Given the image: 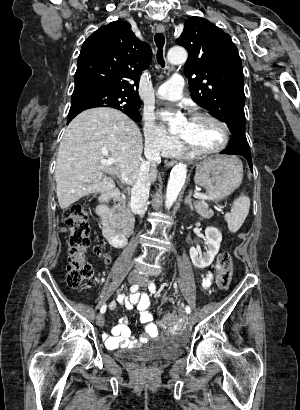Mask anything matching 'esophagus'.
Returning <instances> with one entry per match:
<instances>
[{
    "label": "esophagus",
    "mask_w": 300,
    "mask_h": 410,
    "mask_svg": "<svg viewBox=\"0 0 300 410\" xmlns=\"http://www.w3.org/2000/svg\"><path fill=\"white\" fill-rule=\"evenodd\" d=\"M156 31L159 32V33L165 32V27L163 25H157L156 26ZM174 163H175L174 161H168V160L165 161V165L167 167H172L174 165Z\"/></svg>",
    "instance_id": "34e87169"
}]
</instances>
